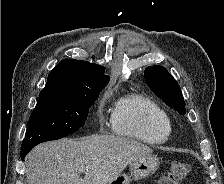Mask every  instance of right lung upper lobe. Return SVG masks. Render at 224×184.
<instances>
[{"label":"right lung upper lobe","instance_id":"obj_1","mask_svg":"<svg viewBox=\"0 0 224 184\" xmlns=\"http://www.w3.org/2000/svg\"><path fill=\"white\" fill-rule=\"evenodd\" d=\"M104 72L100 65L64 59L49 73L40 95L71 96L100 91L110 79Z\"/></svg>","mask_w":224,"mask_h":184}]
</instances>
